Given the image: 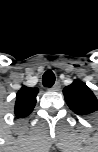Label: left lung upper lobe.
Instances as JSON below:
<instances>
[{
  "mask_svg": "<svg viewBox=\"0 0 98 152\" xmlns=\"http://www.w3.org/2000/svg\"><path fill=\"white\" fill-rule=\"evenodd\" d=\"M65 101L77 115L85 116L98 110V99L82 81L75 80L63 89Z\"/></svg>",
  "mask_w": 98,
  "mask_h": 152,
  "instance_id": "5c2ea615",
  "label": "left lung upper lobe"
}]
</instances>
